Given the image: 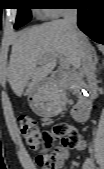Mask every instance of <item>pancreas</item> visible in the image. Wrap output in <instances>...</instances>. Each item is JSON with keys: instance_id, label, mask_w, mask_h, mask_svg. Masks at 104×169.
Wrapping results in <instances>:
<instances>
[{"instance_id": "cf45deb5", "label": "pancreas", "mask_w": 104, "mask_h": 169, "mask_svg": "<svg viewBox=\"0 0 104 169\" xmlns=\"http://www.w3.org/2000/svg\"><path fill=\"white\" fill-rule=\"evenodd\" d=\"M75 81V78L73 75H66L63 79H62V86L64 88H69V86H71L73 84V82Z\"/></svg>"}]
</instances>
